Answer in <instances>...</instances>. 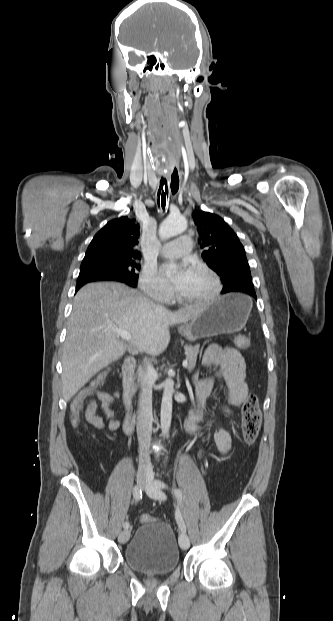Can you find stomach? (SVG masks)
<instances>
[{"mask_svg":"<svg viewBox=\"0 0 333 621\" xmlns=\"http://www.w3.org/2000/svg\"><path fill=\"white\" fill-rule=\"evenodd\" d=\"M252 308L251 299L244 294H227L206 304L194 317L188 340L196 341L242 329Z\"/></svg>","mask_w":333,"mask_h":621,"instance_id":"0dacf381","label":"stomach"}]
</instances>
